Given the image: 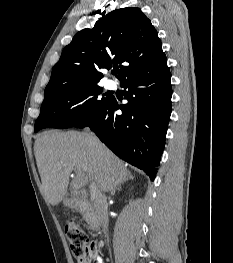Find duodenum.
Wrapping results in <instances>:
<instances>
[{"instance_id": "1", "label": "duodenum", "mask_w": 233, "mask_h": 263, "mask_svg": "<svg viewBox=\"0 0 233 263\" xmlns=\"http://www.w3.org/2000/svg\"><path fill=\"white\" fill-rule=\"evenodd\" d=\"M68 204L71 208L82 211L85 214V217L94 232L97 233L101 230L99 212L89 204V201L86 198L78 196L69 198Z\"/></svg>"}]
</instances>
